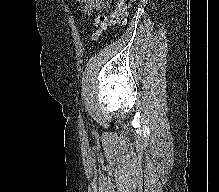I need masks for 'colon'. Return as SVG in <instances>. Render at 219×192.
Listing matches in <instances>:
<instances>
[{"mask_svg": "<svg viewBox=\"0 0 219 192\" xmlns=\"http://www.w3.org/2000/svg\"><path fill=\"white\" fill-rule=\"evenodd\" d=\"M135 0H119L117 6L110 14L97 16L92 24L93 38L97 39L102 31L109 28L112 24H124L126 16Z\"/></svg>", "mask_w": 219, "mask_h": 192, "instance_id": "1", "label": "colon"}]
</instances>
